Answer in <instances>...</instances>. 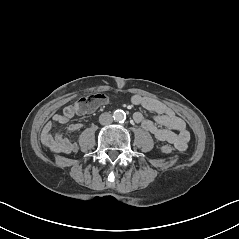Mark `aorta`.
I'll return each instance as SVG.
<instances>
[{"label": "aorta", "mask_w": 239, "mask_h": 239, "mask_svg": "<svg viewBox=\"0 0 239 239\" xmlns=\"http://www.w3.org/2000/svg\"><path fill=\"white\" fill-rule=\"evenodd\" d=\"M113 118L117 122H123L125 120L126 116L122 110H116L113 114Z\"/></svg>", "instance_id": "1"}]
</instances>
